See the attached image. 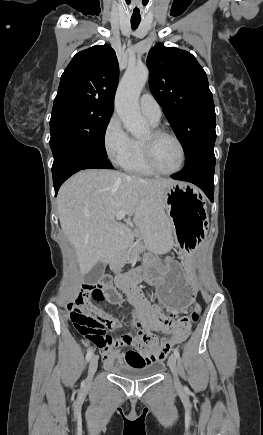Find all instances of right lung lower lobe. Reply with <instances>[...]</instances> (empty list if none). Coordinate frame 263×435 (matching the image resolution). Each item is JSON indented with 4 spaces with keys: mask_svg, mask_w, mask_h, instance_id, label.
Masks as SVG:
<instances>
[{
    "mask_svg": "<svg viewBox=\"0 0 263 435\" xmlns=\"http://www.w3.org/2000/svg\"><path fill=\"white\" fill-rule=\"evenodd\" d=\"M113 169L107 157H102L81 150L65 151L52 166L55 195L62 185L74 173L83 169Z\"/></svg>",
    "mask_w": 263,
    "mask_h": 435,
    "instance_id": "1",
    "label": "right lung lower lobe"
}]
</instances>
